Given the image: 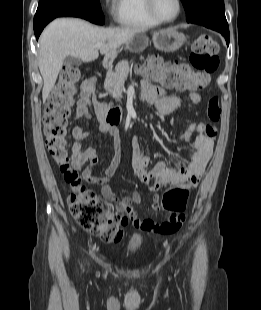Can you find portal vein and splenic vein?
Returning <instances> with one entry per match:
<instances>
[{
  "label": "portal vein and splenic vein",
  "mask_w": 261,
  "mask_h": 310,
  "mask_svg": "<svg viewBox=\"0 0 261 310\" xmlns=\"http://www.w3.org/2000/svg\"><path fill=\"white\" fill-rule=\"evenodd\" d=\"M103 46V44L102 43H98V44H96V47L97 48H101Z\"/></svg>",
  "instance_id": "18ae733b"
}]
</instances>
